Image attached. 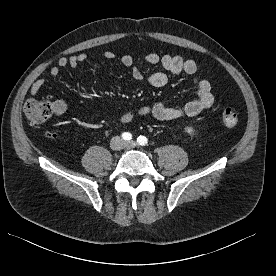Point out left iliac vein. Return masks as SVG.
<instances>
[{
	"instance_id": "left-iliac-vein-1",
	"label": "left iliac vein",
	"mask_w": 276,
	"mask_h": 276,
	"mask_svg": "<svg viewBox=\"0 0 276 276\" xmlns=\"http://www.w3.org/2000/svg\"><path fill=\"white\" fill-rule=\"evenodd\" d=\"M136 146V142L135 141H129V142H126L125 144H124V147L125 148H134Z\"/></svg>"
}]
</instances>
